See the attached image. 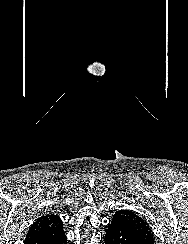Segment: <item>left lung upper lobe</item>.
I'll return each instance as SVG.
<instances>
[{
  "mask_svg": "<svg viewBox=\"0 0 188 244\" xmlns=\"http://www.w3.org/2000/svg\"><path fill=\"white\" fill-rule=\"evenodd\" d=\"M118 212L126 216L144 237L154 242L152 230L150 229L149 224L144 219H142L139 215L130 210H121Z\"/></svg>",
  "mask_w": 188,
  "mask_h": 244,
  "instance_id": "left-lung-upper-lobe-1",
  "label": "left lung upper lobe"
}]
</instances>
